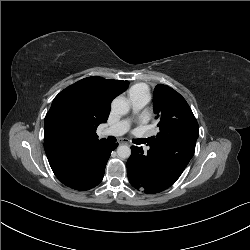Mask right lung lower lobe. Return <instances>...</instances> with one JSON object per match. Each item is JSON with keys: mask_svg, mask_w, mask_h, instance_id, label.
Here are the masks:
<instances>
[{"mask_svg": "<svg viewBox=\"0 0 250 250\" xmlns=\"http://www.w3.org/2000/svg\"><path fill=\"white\" fill-rule=\"evenodd\" d=\"M117 146L118 143H109L106 139L95 144L77 165L79 180L75 183L68 181L62 183L80 191L97 186L102 181L110 154Z\"/></svg>", "mask_w": 250, "mask_h": 250, "instance_id": "1", "label": "right lung lower lobe"}]
</instances>
